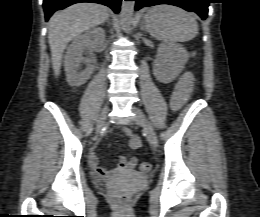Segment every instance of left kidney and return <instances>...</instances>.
Instances as JSON below:
<instances>
[{
	"instance_id": "obj_1",
	"label": "left kidney",
	"mask_w": 260,
	"mask_h": 217,
	"mask_svg": "<svg viewBox=\"0 0 260 217\" xmlns=\"http://www.w3.org/2000/svg\"><path fill=\"white\" fill-rule=\"evenodd\" d=\"M188 61L186 49L177 43H161L153 64L156 79L161 83H171L184 69Z\"/></svg>"
}]
</instances>
